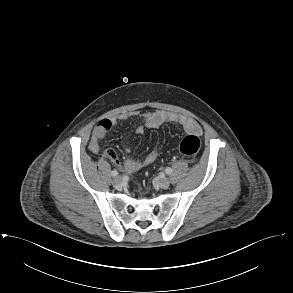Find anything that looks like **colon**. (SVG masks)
<instances>
[{"label": "colon", "mask_w": 293, "mask_h": 293, "mask_svg": "<svg viewBox=\"0 0 293 293\" xmlns=\"http://www.w3.org/2000/svg\"><path fill=\"white\" fill-rule=\"evenodd\" d=\"M201 148L200 139L196 135H188L179 144V151L185 156H195Z\"/></svg>", "instance_id": "obj_1"}]
</instances>
